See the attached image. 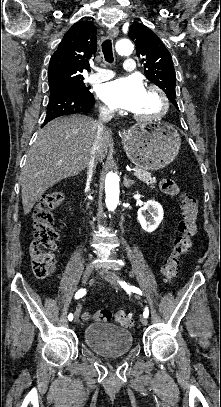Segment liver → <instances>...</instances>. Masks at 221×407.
Segmentation results:
<instances>
[{"instance_id": "1", "label": "liver", "mask_w": 221, "mask_h": 407, "mask_svg": "<svg viewBox=\"0 0 221 407\" xmlns=\"http://www.w3.org/2000/svg\"><path fill=\"white\" fill-rule=\"evenodd\" d=\"M95 136L96 121L85 115L55 119L38 133L20 177L25 215L50 187L87 167ZM112 145V135L107 130L99 161H103Z\"/></svg>"}]
</instances>
